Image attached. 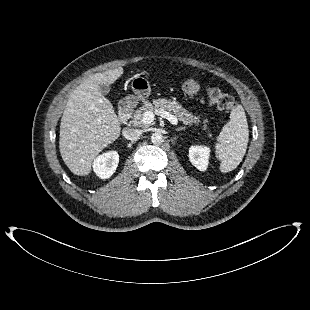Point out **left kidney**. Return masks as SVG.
<instances>
[{"label": "left kidney", "instance_id": "5707ae66", "mask_svg": "<svg viewBox=\"0 0 310 310\" xmlns=\"http://www.w3.org/2000/svg\"><path fill=\"white\" fill-rule=\"evenodd\" d=\"M210 149L205 146H191L189 148L190 162L200 171H205L208 167Z\"/></svg>", "mask_w": 310, "mask_h": 310}]
</instances>
